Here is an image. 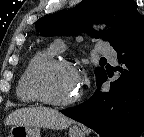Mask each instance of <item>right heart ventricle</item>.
I'll list each match as a JSON object with an SVG mask.
<instances>
[{"label":"right heart ventricle","mask_w":144,"mask_h":137,"mask_svg":"<svg viewBox=\"0 0 144 137\" xmlns=\"http://www.w3.org/2000/svg\"><path fill=\"white\" fill-rule=\"evenodd\" d=\"M53 48L44 49L36 52L27 62L17 83L16 94L18 99L25 104H33L38 100L29 89V77L34 67L53 56Z\"/></svg>","instance_id":"e07e8e85"}]
</instances>
